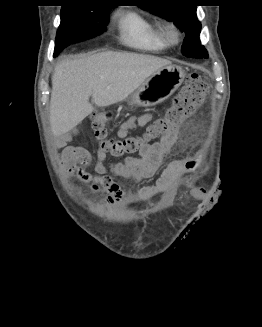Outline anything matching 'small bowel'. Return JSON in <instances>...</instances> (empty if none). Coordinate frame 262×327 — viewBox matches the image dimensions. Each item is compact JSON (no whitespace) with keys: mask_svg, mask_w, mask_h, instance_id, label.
Returning a JSON list of instances; mask_svg holds the SVG:
<instances>
[{"mask_svg":"<svg viewBox=\"0 0 262 327\" xmlns=\"http://www.w3.org/2000/svg\"><path fill=\"white\" fill-rule=\"evenodd\" d=\"M153 119L150 113L138 114L129 117L117 130V136L125 138L128 134L137 129L145 127ZM76 132H73L75 134ZM179 137V129L160 140L147 145L138 158H128L124 162L112 164L109 167L104 165L106 153L98 147L95 173H90L87 168L90 165V155L82 147L64 146L60 166L66 174L76 173L84 182L90 184L94 192L104 189L107 192L105 203L110 206L133 203L139 200H146L158 194L171 193L179 184L182 176L188 171L189 165H196L193 156L171 161L163 170L161 176L153 185L140 188L137 192L125 191L110 174L120 176L139 182L143 179L153 177L160 169L163 157L175 146ZM71 134L62 138L60 142L69 141ZM189 195L193 206L201 202L198 199H205L208 193L207 188H189Z\"/></svg>","mask_w":262,"mask_h":327,"instance_id":"c3829d8e","label":"small bowel"}]
</instances>
